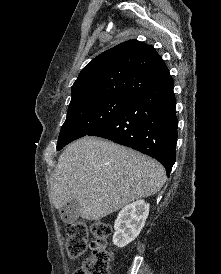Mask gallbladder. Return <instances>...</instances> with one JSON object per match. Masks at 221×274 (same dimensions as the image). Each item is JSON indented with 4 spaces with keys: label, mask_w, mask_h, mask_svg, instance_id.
Segmentation results:
<instances>
[{
    "label": "gallbladder",
    "mask_w": 221,
    "mask_h": 274,
    "mask_svg": "<svg viewBox=\"0 0 221 274\" xmlns=\"http://www.w3.org/2000/svg\"><path fill=\"white\" fill-rule=\"evenodd\" d=\"M69 213L67 215V219L69 221H76L80 215V211H81V205L78 203V201L76 200H72L69 205ZM64 216V214H62Z\"/></svg>",
    "instance_id": "bac80fb5"
}]
</instances>
